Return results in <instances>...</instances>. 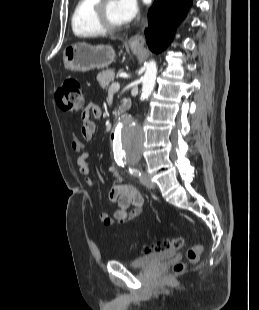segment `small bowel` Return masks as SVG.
I'll return each mask as SVG.
<instances>
[{
	"label": "small bowel",
	"instance_id": "obj_1",
	"mask_svg": "<svg viewBox=\"0 0 259 310\" xmlns=\"http://www.w3.org/2000/svg\"><path fill=\"white\" fill-rule=\"evenodd\" d=\"M101 116V109L98 105L90 103L82 113L81 135L86 140L92 139L95 132V123L91 119ZM71 149L77 153L76 163L80 176L87 185L92 186L94 181L90 175L89 154L83 152V142L76 135L72 137ZM109 171L114 176L115 181L108 198L111 202L117 203L118 209L111 216L107 212L99 214L100 221L105 225H112L116 222L123 223L139 216L143 208V197L141 193L132 185L128 184L119 174L114 166L109 167Z\"/></svg>",
	"mask_w": 259,
	"mask_h": 310
}]
</instances>
